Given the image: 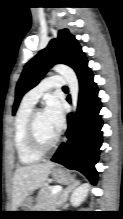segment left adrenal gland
Instances as JSON below:
<instances>
[{
    "label": "left adrenal gland",
    "mask_w": 123,
    "mask_h": 219,
    "mask_svg": "<svg viewBox=\"0 0 123 219\" xmlns=\"http://www.w3.org/2000/svg\"><path fill=\"white\" fill-rule=\"evenodd\" d=\"M79 184V180H74L71 184H69L61 191L58 201L59 206H64V203L67 201L70 192H72Z\"/></svg>",
    "instance_id": "a2214340"
}]
</instances>
